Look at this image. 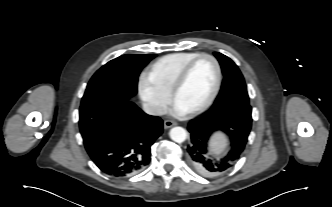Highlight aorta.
Here are the masks:
<instances>
[{"instance_id":"762f6f07","label":"aorta","mask_w":332,"mask_h":207,"mask_svg":"<svg viewBox=\"0 0 332 207\" xmlns=\"http://www.w3.org/2000/svg\"><path fill=\"white\" fill-rule=\"evenodd\" d=\"M170 138L177 143H182L186 140L187 132L182 127H173L170 130Z\"/></svg>"}]
</instances>
